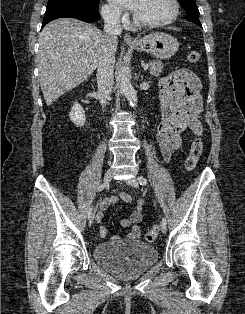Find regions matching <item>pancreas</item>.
<instances>
[{
  "mask_svg": "<svg viewBox=\"0 0 245 314\" xmlns=\"http://www.w3.org/2000/svg\"><path fill=\"white\" fill-rule=\"evenodd\" d=\"M164 68V64L160 60L152 61L149 63V72L151 76L157 77L159 76Z\"/></svg>",
  "mask_w": 245,
  "mask_h": 314,
  "instance_id": "obj_1",
  "label": "pancreas"
}]
</instances>
